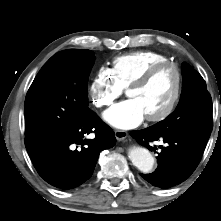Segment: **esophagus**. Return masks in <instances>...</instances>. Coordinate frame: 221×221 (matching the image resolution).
<instances>
[{"label":"esophagus","mask_w":221,"mask_h":221,"mask_svg":"<svg viewBox=\"0 0 221 221\" xmlns=\"http://www.w3.org/2000/svg\"><path fill=\"white\" fill-rule=\"evenodd\" d=\"M114 135L118 141H123L128 136V133L123 130H116Z\"/></svg>","instance_id":"34e87169"}]
</instances>
